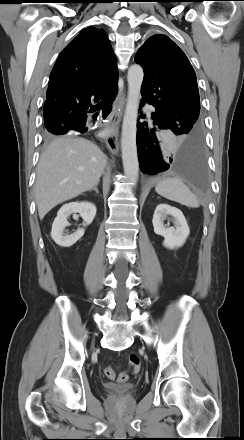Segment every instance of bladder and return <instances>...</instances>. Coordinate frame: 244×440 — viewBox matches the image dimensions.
<instances>
[{"label":"bladder","instance_id":"obj_1","mask_svg":"<svg viewBox=\"0 0 244 440\" xmlns=\"http://www.w3.org/2000/svg\"><path fill=\"white\" fill-rule=\"evenodd\" d=\"M103 388L118 397L128 396L134 392V387L132 385H116L113 383H106Z\"/></svg>","mask_w":244,"mask_h":440}]
</instances>
